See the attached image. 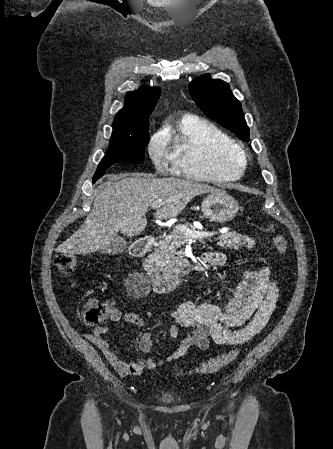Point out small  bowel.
Segmentation results:
<instances>
[{
  "label": "small bowel",
  "mask_w": 333,
  "mask_h": 449,
  "mask_svg": "<svg viewBox=\"0 0 333 449\" xmlns=\"http://www.w3.org/2000/svg\"><path fill=\"white\" fill-rule=\"evenodd\" d=\"M207 257L208 262L213 265L221 266L225 262L221 253H208ZM76 285L77 282L73 281V286ZM278 298V287L270 277L269 268H262L243 272L235 298L225 307L212 303L196 304L190 301L182 303L170 314L169 335L171 339H177L180 330H183V336L179 348L165 361L147 358L129 363L119 359L104 338L106 333L104 327H96L92 333L86 334V338L102 351L121 376L138 375L144 369H155L165 362L185 356L193 347L207 350L210 341L222 345H240L248 342L265 328ZM92 302L96 300L89 299L87 305ZM110 318L114 322L124 321L136 327L142 325L139 315L122 313L115 308ZM152 344L151 334H142L139 341L140 351L149 353Z\"/></svg>",
  "instance_id": "1"
}]
</instances>
